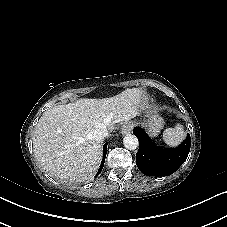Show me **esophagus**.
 <instances>
[{
    "label": "esophagus",
    "instance_id": "34e87169",
    "mask_svg": "<svg viewBox=\"0 0 227 227\" xmlns=\"http://www.w3.org/2000/svg\"><path fill=\"white\" fill-rule=\"evenodd\" d=\"M132 128H133V124L127 123L121 127L120 133L122 135L129 134L131 132Z\"/></svg>",
    "mask_w": 227,
    "mask_h": 227
}]
</instances>
